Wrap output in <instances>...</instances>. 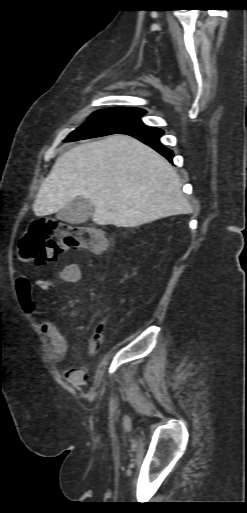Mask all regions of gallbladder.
<instances>
[{"label": "gallbladder", "instance_id": "bac80fb5", "mask_svg": "<svg viewBox=\"0 0 247 513\" xmlns=\"http://www.w3.org/2000/svg\"><path fill=\"white\" fill-rule=\"evenodd\" d=\"M93 212V203L78 196L58 211L56 217L71 224H81L89 220Z\"/></svg>", "mask_w": 247, "mask_h": 513}]
</instances>
